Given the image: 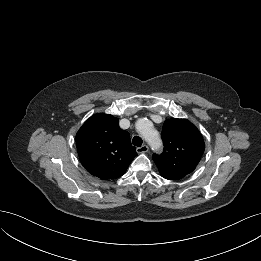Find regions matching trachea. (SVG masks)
Masks as SVG:
<instances>
[{
	"mask_svg": "<svg viewBox=\"0 0 261 261\" xmlns=\"http://www.w3.org/2000/svg\"><path fill=\"white\" fill-rule=\"evenodd\" d=\"M132 143L134 146H137V147H141L143 141H142V138L139 137V136H135L132 140Z\"/></svg>",
	"mask_w": 261,
	"mask_h": 261,
	"instance_id": "3493384b",
	"label": "trachea"
}]
</instances>
